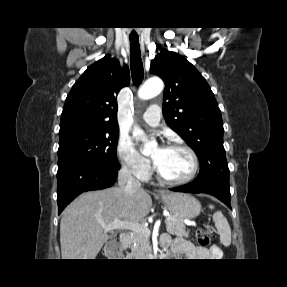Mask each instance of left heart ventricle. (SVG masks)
<instances>
[{
  "label": "left heart ventricle",
  "instance_id": "obj_1",
  "mask_svg": "<svg viewBox=\"0 0 287 287\" xmlns=\"http://www.w3.org/2000/svg\"><path fill=\"white\" fill-rule=\"evenodd\" d=\"M151 156L166 178L173 180L183 179L192 171V158L183 149L158 147L153 150Z\"/></svg>",
  "mask_w": 287,
  "mask_h": 287
}]
</instances>
